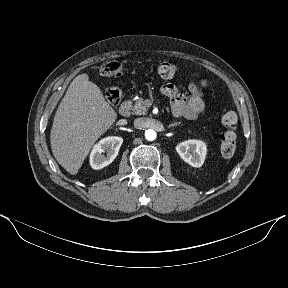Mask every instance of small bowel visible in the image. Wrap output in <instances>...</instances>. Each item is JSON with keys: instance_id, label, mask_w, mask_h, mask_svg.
Segmentation results:
<instances>
[{"instance_id": "c3829d8e", "label": "small bowel", "mask_w": 288, "mask_h": 288, "mask_svg": "<svg viewBox=\"0 0 288 288\" xmlns=\"http://www.w3.org/2000/svg\"><path fill=\"white\" fill-rule=\"evenodd\" d=\"M190 95L181 94L178 88L171 83L161 87V93L168 97L171 102L172 112L175 116H183L188 119H195L205 109V102L202 92L192 83L189 86Z\"/></svg>"}]
</instances>
